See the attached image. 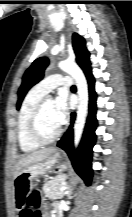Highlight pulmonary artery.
<instances>
[{"instance_id":"pulmonary-artery-1","label":"pulmonary artery","mask_w":132,"mask_h":217,"mask_svg":"<svg viewBox=\"0 0 132 217\" xmlns=\"http://www.w3.org/2000/svg\"><path fill=\"white\" fill-rule=\"evenodd\" d=\"M72 83L71 78L64 77L60 74H54L50 75L43 80H41L36 87L42 91L43 93L47 94L54 88L64 85V86H70Z\"/></svg>"}]
</instances>
